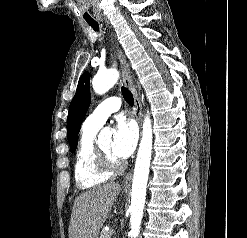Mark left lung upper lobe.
Listing matches in <instances>:
<instances>
[{
  "instance_id": "5c2ea615",
  "label": "left lung upper lobe",
  "mask_w": 247,
  "mask_h": 238,
  "mask_svg": "<svg viewBox=\"0 0 247 238\" xmlns=\"http://www.w3.org/2000/svg\"><path fill=\"white\" fill-rule=\"evenodd\" d=\"M90 105V75L88 72L82 74L79 79L76 94L73 97L67 119V132L71 152L77 147V137L80 123Z\"/></svg>"
}]
</instances>
